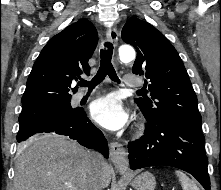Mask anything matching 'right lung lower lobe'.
Listing matches in <instances>:
<instances>
[{
    "label": "right lung lower lobe",
    "mask_w": 221,
    "mask_h": 190,
    "mask_svg": "<svg viewBox=\"0 0 221 190\" xmlns=\"http://www.w3.org/2000/svg\"><path fill=\"white\" fill-rule=\"evenodd\" d=\"M56 133L76 140L79 144L109 156L107 140L103 133L88 120L83 109L70 118H52L20 130L17 141L22 142L37 133Z\"/></svg>",
    "instance_id": "obj_1"
}]
</instances>
